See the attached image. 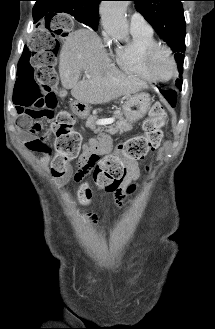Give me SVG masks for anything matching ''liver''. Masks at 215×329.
<instances>
[{"label":"liver","instance_id":"6515ba94","mask_svg":"<svg viewBox=\"0 0 215 329\" xmlns=\"http://www.w3.org/2000/svg\"><path fill=\"white\" fill-rule=\"evenodd\" d=\"M81 71L87 73L79 81ZM62 86L85 104H102L148 89L144 81L122 73L104 51L100 38L79 29L66 38L59 57Z\"/></svg>","mask_w":215,"mask_h":329}]
</instances>
